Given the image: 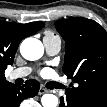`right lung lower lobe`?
<instances>
[{"mask_svg":"<svg viewBox=\"0 0 107 107\" xmlns=\"http://www.w3.org/2000/svg\"><path fill=\"white\" fill-rule=\"evenodd\" d=\"M40 84L36 80H28L22 87H15L12 83H0V107H19L20 103L28 97L37 95Z\"/></svg>","mask_w":107,"mask_h":107,"instance_id":"right-lung-lower-lobe-1","label":"right lung lower lobe"}]
</instances>
